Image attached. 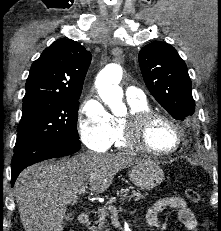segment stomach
Segmentation results:
<instances>
[{
	"instance_id": "0dacf381",
	"label": "stomach",
	"mask_w": 221,
	"mask_h": 231,
	"mask_svg": "<svg viewBox=\"0 0 221 231\" xmlns=\"http://www.w3.org/2000/svg\"><path fill=\"white\" fill-rule=\"evenodd\" d=\"M129 177L135 186L141 189H152L161 184L165 176L156 162L141 160L129 170Z\"/></svg>"
}]
</instances>
